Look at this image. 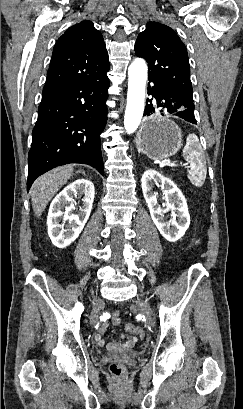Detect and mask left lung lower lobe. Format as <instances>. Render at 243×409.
I'll return each mask as SVG.
<instances>
[{
  "mask_svg": "<svg viewBox=\"0 0 243 409\" xmlns=\"http://www.w3.org/2000/svg\"><path fill=\"white\" fill-rule=\"evenodd\" d=\"M149 81L154 85L150 87L148 94L155 98L156 103L152 104V99L147 100L144 116H149L154 112H160L161 115L168 112L196 124L192 95L152 78H149Z\"/></svg>",
  "mask_w": 243,
  "mask_h": 409,
  "instance_id": "left-lung-lower-lobe-1",
  "label": "left lung lower lobe"
}]
</instances>
